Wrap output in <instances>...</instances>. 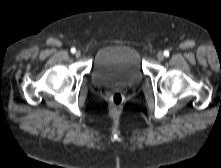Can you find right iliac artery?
I'll return each instance as SVG.
<instances>
[{
    "label": "right iliac artery",
    "mask_w": 221,
    "mask_h": 168,
    "mask_svg": "<svg viewBox=\"0 0 221 168\" xmlns=\"http://www.w3.org/2000/svg\"><path fill=\"white\" fill-rule=\"evenodd\" d=\"M76 49L75 48H71V53H75Z\"/></svg>",
    "instance_id": "obj_1"
}]
</instances>
